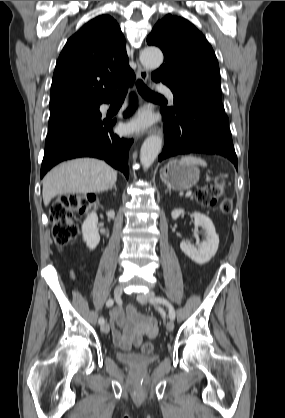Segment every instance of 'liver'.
<instances>
[{
  "mask_svg": "<svg viewBox=\"0 0 285 418\" xmlns=\"http://www.w3.org/2000/svg\"><path fill=\"white\" fill-rule=\"evenodd\" d=\"M117 181V172L104 161L80 158L58 165L43 179V202L63 194L99 193L112 189Z\"/></svg>",
  "mask_w": 285,
  "mask_h": 418,
  "instance_id": "liver-1",
  "label": "liver"
}]
</instances>
